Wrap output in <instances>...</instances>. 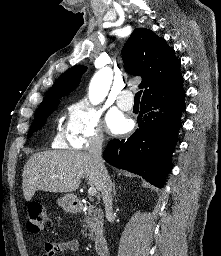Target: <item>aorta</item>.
Here are the masks:
<instances>
[{
	"label": "aorta",
	"mask_w": 221,
	"mask_h": 256,
	"mask_svg": "<svg viewBox=\"0 0 221 256\" xmlns=\"http://www.w3.org/2000/svg\"><path fill=\"white\" fill-rule=\"evenodd\" d=\"M113 79L110 68H103L95 73L89 86V99L93 104H99L107 96Z\"/></svg>",
	"instance_id": "762f6f07"
}]
</instances>
